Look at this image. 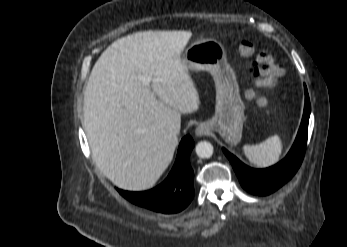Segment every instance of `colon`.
<instances>
[{
  "label": "colon",
  "instance_id": "obj_1",
  "mask_svg": "<svg viewBox=\"0 0 347 247\" xmlns=\"http://www.w3.org/2000/svg\"><path fill=\"white\" fill-rule=\"evenodd\" d=\"M238 48L244 57H255L250 71L256 89H274L282 77L283 69L276 61L272 50L267 48L255 52V47L249 40H240ZM248 98L251 101H258L259 95L256 92H251L248 94Z\"/></svg>",
  "mask_w": 347,
  "mask_h": 247
}]
</instances>
